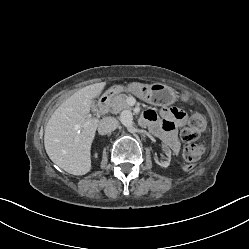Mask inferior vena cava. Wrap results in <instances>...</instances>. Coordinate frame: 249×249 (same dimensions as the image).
<instances>
[{
  "label": "inferior vena cava",
  "instance_id": "obj_1",
  "mask_svg": "<svg viewBox=\"0 0 249 249\" xmlns=\"http://www.w3.org/2000/svg\"><path fill=\"white\" fill-rule=\"evenodd\" d=\"M118 121L113 117H106L102 119L98 125V132L100 135H106L114 131L118 127Z\"/></svg>",
  "mask_w": 249,
  "mask_h": 249
}]
</instances>
